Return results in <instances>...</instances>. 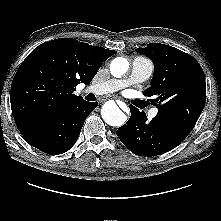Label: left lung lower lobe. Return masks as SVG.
I'll return each instance as SVG.
<instances>
[{"instance_id": "left-lung-lower-lobe-1", "label": "left lung lower lobe", "mask_w": 221, "mask_h": 221, "mask_svg": "<svg viewBox=\"0 0 221 221\" xmlns=\"http://www.w3.org/2000/svg\"><path fill=\"white\" fill-rule=\"evenodd\" d=\"M131 117L117 130L121 142L134 154L157 156L178 146L185 138L164 119L155 116L148 121L146 114L130 105Z\"/></svg>"}]
</instances>
